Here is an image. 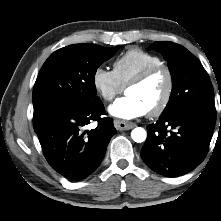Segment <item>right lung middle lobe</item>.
Here are the masks:
<instances>
[{"mask_svg":"<svg viewBox=\"0 0 221 221\" xmlns=\"http://www.w3.org/2000/svg\"><path fill=\"white\" fill-rule=\"evenodd\" d=\"M118 48L74 44L52 53L34 85V130L61 110L85 108L100 100L94 83L96 70Z\"/></svg>","mask_w":221,"mask_h":221,"instance_id":"right-lung-middle-lobe-1","label":"right lung middle lobe"}]
</instances>
